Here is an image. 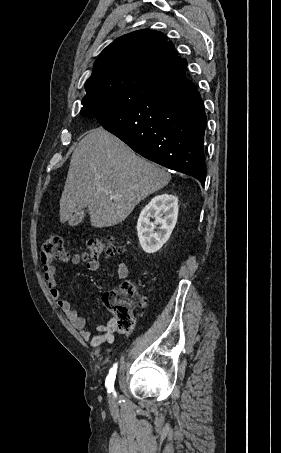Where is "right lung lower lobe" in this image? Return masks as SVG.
Returning a JSON list of instances; mask_svg holds the SVG:
<instances>
[{
  "instance_id": "obj_1",
  "label": "right lung lower lobe",
  "mask_w": 281,
  "mask_h": 453,
  "mask_svg": "<svg viewBox=\"0 0 281 453\" xmlns=\"http://www.w3.org/2000/svg\"><path fill=\"white\" fill-rule=\"evenodd\" d=\"M81 115L96 117L135 152L193 176L204 186L207 119L200 94L186 77L161 83L129 101L94 106Z\"/></svg>"
}]
</instances>
